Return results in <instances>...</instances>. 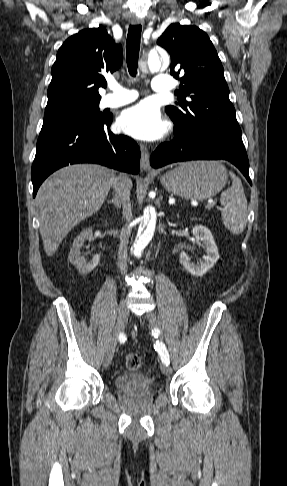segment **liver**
I'll use <instances>...</instances> for the list:
<instances>
[{
	"label": "liver",
	"mask_w": 287,
	"mask_h": 486,
	"mask_svg": "<svg viewBox=\"0 0 287 486\" xmlns=\"http://www.w3.org/2000/svg\"><path fill=\"white\" fill-rule=\"evenodd\" d=\"M131 189L132 181L121 175ZM115 172L96 164H75L51 175L40 186L35 204L40 234L48 257L57 251L64 237L103 205Z\"/></svg>",
	"instance_id": "1"
}]
</instances>
